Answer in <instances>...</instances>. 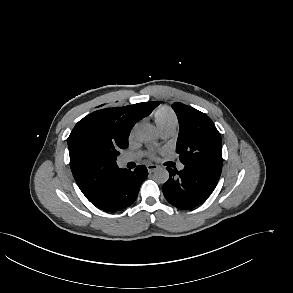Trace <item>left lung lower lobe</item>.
Instances as JSON below:
<instances>
[{
	"instance_id": "1",
	"label": "left lung lower lobe",
	"mask_w": 293,
	"mask_h": 293,
	"mask_svg": "<svg viewBox=\"0 0 293 293\" xmlns=\"http://www.w3.org/2000/svg\"><path fill=\"white\" fill-rule=\"evenodd\" d=\"M183 170L167 168L169 179L162 186L167 201L180 209L202 204L215 189L221 171L209 165L184 164Z\"/></svg>"
}]
</instances>
